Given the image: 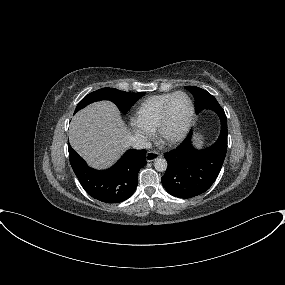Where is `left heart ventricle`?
<instances>
[{"mask_svg": "<svg viewBox=\"0 0 285 285\" xmlns=\"http://www.w3.org/2000/svg\"><path fill=\"white\" fill-rule=\"evenodd\" d=\"M190 115V102L184 95L177 96L169 109L168 123L165 133L169 136L178 134L185 126Z\"/></svg>", "mask_w": 285, "mask_h": 285, "instance_id": "b2bd125f", "label": "left heart ventricle"}]
</instances>
